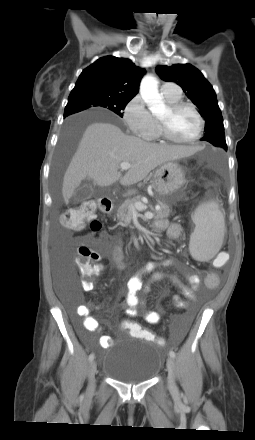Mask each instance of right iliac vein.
<instances>
[{"label":"right iliac vein","instance_id":"right-iliac-vein-1","mask_svg":"<svg viewBox=\"0 0 255 440\" xmlns=\"http://www.w3.org/2000/svg\"><path fill=\"white\" fill-rule=\"evenodd\" d=\"M96 370H97V362L95 360H92L90 362L89 371H88L89 372L88 376H89V389L90 390H93L94 387H95V373H96Z\"/></svg>","mask_w":255,"mask_h":440}]
</instances>
